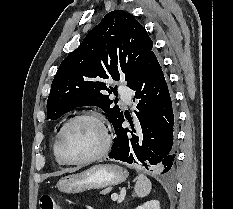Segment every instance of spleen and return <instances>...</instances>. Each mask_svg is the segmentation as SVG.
Masks as SVG:
<instances>
[{"label": "spleen", "instance_id": "3e777b00", "mask_svg": "<svg viewBox=\"0 0 233 209\" xmlns=\"http://www.w3.org/2000/svg\"><path fill=\"white\" fill-rule=\"evenodd\" d=\"M151 182L150 180L143 174H139L137 176V182L134 187V191L136 195L140 198L147 196L151 191Z\"/></svg>", "mask_w": 233, "mask_h": 209}]
</instances>
